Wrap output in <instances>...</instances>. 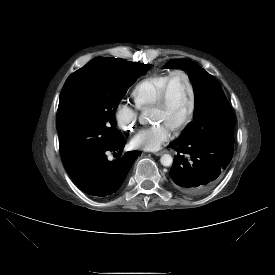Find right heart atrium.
<instances>
[{"label": "right heart atrium", "mask_w": 275, "mask_h": 275, "mask_svg": "<svg viewBox=\"0 0 275 275\" xmlns=\"http://www.w3.org/2000/svg\"><path fill=\"white\" fill-rule=\"evenodd\" d=\"M138 108L127 102L120 101L114 110V118L119 128L125 131H132L138 121Z\"/></svg>", "instance_id": "d8ad5b80"}]
</instances>
